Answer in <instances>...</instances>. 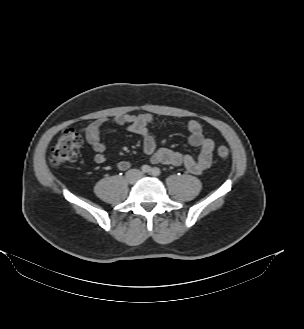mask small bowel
<instances>
[{"label": "small bowel", "instance_id": "small-bowel-1", "mask_svg": "<svg viewBox=\"0 0 304 329\" xmlns=\"http://www.w3.org/2000/svg\"><path fill=\"white\" fill-rule=\"evenodd\" d=\"M153 117L149 113H126L114 117L111 122L125 127L129 132L141 137L144 153L155 164L184 166L193 174H201L212 163L214 142L205 137L202 127L196 120H190L185 127L189 134L191 145L199 148L197 158L189 154H183L165 147H158L155 138L150 133L149 126ZM108 120L98 119L83 128L85 139L94 152V161L103 164L109 160L105 145L100 141L101 128ZM130 167V162L120 161L117 168L125 171Z\"/></svg>", "mask_w": 304, "mask_h": 329}]
</instances>
